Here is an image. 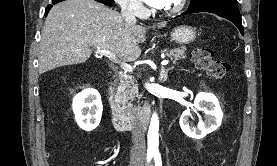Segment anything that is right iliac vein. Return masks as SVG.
Instances as JSON below:
<instances>
[{
    "mask_svg": "<svg viewBox=\"0 0 277 166\" xmlns=\"http://www.w3.org/2000/svg\"><path fill=\"white\" fill-rule=\"evenodd\" d=\"M130 166H143V165L141 162L134 161L130 163Z\"/></svg>",
    "mask_w": 277,
    "mask_h": 166,
    "instance_id": "63e3f726",
    "label": "right iliac vein"
}]
</instances>
